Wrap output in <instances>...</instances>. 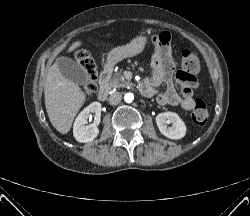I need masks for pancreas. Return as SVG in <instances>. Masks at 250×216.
<instances>
[{
  "label": "pancreas",
  "instance_id": "obj_1",
  "mask_svg": "<svg viewBox=\"0 0 250 216\" xmlns=\"http://www.w3.org/2000/svg\"><path fill=\"white\" fill-rule=\"evenodd\" d=\"M104 84L109 90L131 85V83L124 78L121 71L116 72L113 76H107L104 80Z\"/></svg>",
  "mask_w": 250,
  "mask_h": 216
}]
</instances>
